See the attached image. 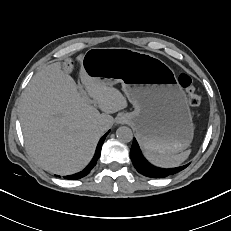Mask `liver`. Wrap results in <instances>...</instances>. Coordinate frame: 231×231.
I'll return each mask as SVG.
<instances>
[{
  "mask_svg": "<svg viewBox=\"0 0 231 231\" xmlns=\"http://www.w3.org/2000/svg\"><path fill=\"white\" fill-rule=\"evenodd\" d=\"M83 57L76 60L82 62ZM79 78L93 103L82 97L60 62L36 73L20 101L26 148L38 165L54 174L68 175L85 168L100 137L114 123L110 114L128 106L118 89L90 77L83 65Z\"/></svg>",
  "mask_w": 231,
  "mask_h": 231,
  "instance_id": "6515ba94",
  "label": "liver"
}]
</instances>
